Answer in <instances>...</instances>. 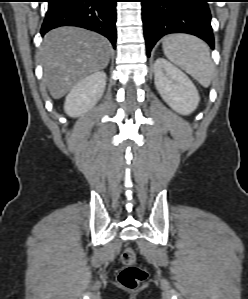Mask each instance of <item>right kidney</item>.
<instances>
[{
	"label": "right kidney",
	"instance_id": "right-kidney-1",
	"mask_svg": "<svg viewBox=\"0 0 248 299\" xmlns=\"http://www.w3.org/2000/svg\"><path fill=\"white\" fill-rule=\"evenodd\" d=\"M106 79V74L99 71L80 80L66 96L64 104L66 114L70 117H79L92 109L104 93Z\"/></svg>",
	"mask_w": 248,
	"mask_h": 299
}]
</instances>
